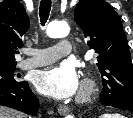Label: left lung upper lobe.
I'll list each match as a JSON object with an SVG mask.
<instances>
[{
  "instance_id": "1",
  "label": "left lung upper lobe",
  "mask_w": 133,
  "mask_h": 118,
  "mask_svg": "<svg viewBox=\"0 0 133 118\" xmlns=\"http://www.w3.org/2000/svg\"><path fill=\"white\" fill-rule=\"evenodd\" d=\"M74 18L102 74L101 103L133 112V65L118 14L104 0H79Z\"/></svg>"
}]
</instances>
